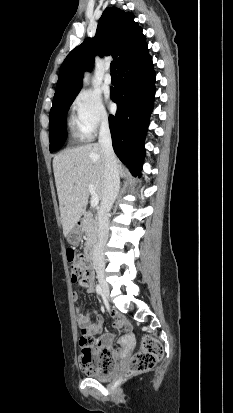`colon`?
<instances>
[{
  "label": "colon",
  "instance_id": "colon-1",
  "mask_svg": "<svg viewBox=\"0 0 233 413\" xmlns=\"http://www.w3.org/2000/svg\"><path fill=\"white\" fill-rule=\"evenodd\" d=\"M72 282L81 281L91 275V268L84 256L73 249L67 250ZM81 346L80 365L88 374H108L114 369L115 354L112 349L99 348L91 336L83 335ZM163 349L161 344L151 336H144L140 349L132 356L126 374L128 376L146 372L152 369L161 359Z\"/></svg>",
  "mask_w": 233,
  "mask_h": 413
}]
</instances>
